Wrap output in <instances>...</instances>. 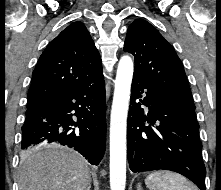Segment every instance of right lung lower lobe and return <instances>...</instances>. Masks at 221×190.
Returning <instances> with one entry per match:
<instances>
[{"label": "right lung lower lobe", "mask_w": 221, "mask_h": 190, "mask_svg": "<svg viewBox=\"0 0 221 190\" xmlns=\"http://www.w3.org/2000/svg\"><path fill=\"white\" fill-rule=\"evenodd\" d=\"M40 143L65 145L98 165L106 145V97L103 73L27 108L21 149Z\"/></svg>", "instance_id": "obj_1"}]
</instances>
